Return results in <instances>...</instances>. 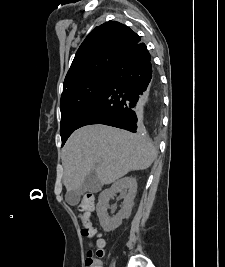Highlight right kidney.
<instances>
[{
	"mask_svg": "<svg viewBox=\"0 0 225 267\" xmlns=\"http://www.w3.org/2000/svg\"><path fill=\"white\" fill-rule=\"evenodd\" d=\"M136 191V179L132 177H124L116 181L109 189L101 192L98 198L97 215L99 217L100 225L104 231L110 232L115 230L121 225L123 219L130 216ZM117 192H122L125 195L123 206L116 216L111 218L107 213L108 203Z\"/></svg>",
	"mask_w": 225,
	"mask_h": 267,
	"instance_id": "right-kidney-1",
	"label": "right kidney"
}]
</instances>
